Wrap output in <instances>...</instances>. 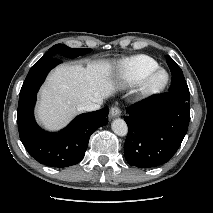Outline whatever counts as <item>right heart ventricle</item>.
<instances>
[{"label": "right heart ventricle", "mask_w": 213, "mask_h": 213, "mask_svg": "<svg viewBox=\"0 0 213 213\" xmlns=\"http://www.w3.org/2000/svg\"><path fill=\"white\" fill-rule=\"evenodd\" d=\"M158 67L157 61L147 55L127 58L118 66L117 81L122 86L138 84Z\"/></svg>", "instance_id": "obj_1"}]
</instances>
